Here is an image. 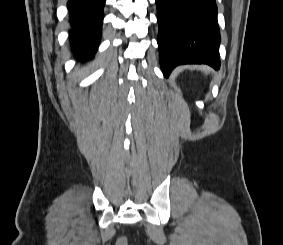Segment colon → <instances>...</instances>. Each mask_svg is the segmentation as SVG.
<instances>
[{
  "instance_id": "colon-1",
  "label": "colon",
  "mask_w": 283,
  "mask_h": 245,
  "mask_svg": "<svg viewBox=\"0 0 283 245\" xmlns=\"http://www.w3.org/2000/svg\"><path fill=\"white\" fill-rule=\"evenodd\" d=\"M117 245H127V238L122 237L118 240Z\"/></svg>"
}]
</instances>
